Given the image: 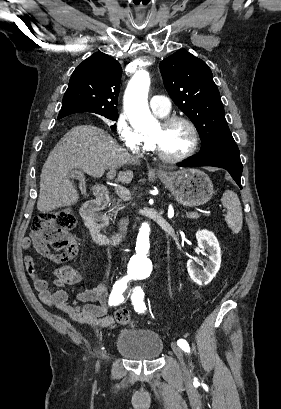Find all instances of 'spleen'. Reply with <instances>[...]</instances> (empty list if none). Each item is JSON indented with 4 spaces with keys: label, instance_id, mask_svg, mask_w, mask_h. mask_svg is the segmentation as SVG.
<instances>
[{
    "label": "spleen",
    "instance_id": "spleen-1",
    "mask_svg": "<svg viewBox=\"0 0 281 409\" xmlns=\"http://www.w3.org/2000/svg\"><path fill=\"white\" fill-rule=\"evenodd\" d=\"M223 207L227 209L226 223L233 233H239L242 229L243 215L241 202L233 190H225L222 196Z\"/></svg>",
    "mask_w": 281,
    "mask_h": 409
}]
</instances>
